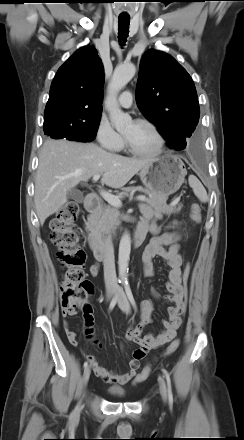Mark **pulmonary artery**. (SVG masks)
<instances>
[{
    "mask_svg": "<svg viewBox=\"0 0 244 440\" xmlns=\"http://www.w3.org/2000/svg\"><path fill=\"white\" fill-rule=\"evenodd\" d=\"M132 93L124 91L119 97V105L123 108H129L132 105Z\"/></svg>",
    "mask_w": 244,
    "mask_h": 440,
    "instance_id": "pulmonary-artery-1",
    "label": "pulmonary artery"
}]
</instances>
